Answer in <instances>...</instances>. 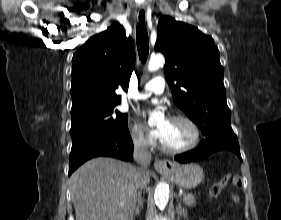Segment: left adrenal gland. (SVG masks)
<instances>
[{"mask_svg": "<svg viewBox=\"0 0 281 220\" xmlns=\"http://www.w3.org/2000/svg\"><path fill=\"white\" fill-rule=\"evenodd\" d=\"M176 211L179 216L187 217V211L184 208H182L181 203L179 201L176 207Z\"/></svg>", "mask_w": 281, "mask_h": 220, "instance_id": "obj_1", "label": "left adrenal gland"}]
</instances>
